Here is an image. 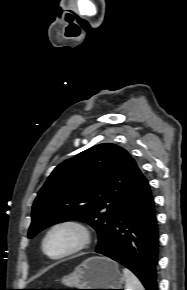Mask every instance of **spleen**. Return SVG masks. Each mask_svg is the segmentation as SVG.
<instances>
[{
	"label": "spleen",
	"mask_w": 187,
	"mask_h": 290,
	"mask_svg": "<svg viewBox=\"0 0 187 290\" xmlns=\"http://www.w3.org/2000/svg\"><path fill=\"white\" fill-rule=\"evenodd\" d=\"M126 279L125 289L127 290H144L139 279L127 268L122 269Z\"/></svg>",
	"instance_id": "3e777b00"
}]
</instances>
